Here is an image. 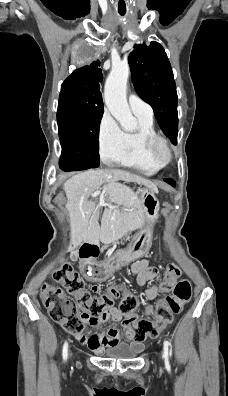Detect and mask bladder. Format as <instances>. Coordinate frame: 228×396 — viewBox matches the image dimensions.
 Segmentation results:
<instances>
[{
    "label": "bladder",
    "mask_w": 228,
    "mask_h": 396,
    "mask_svg": "<svg viewBox=\"0 0 228 396\" xmlns=\"http://www.w3.org/2000/svg\"><path fill=\"white\" fill-rule=\"evenodd\" d=\"M139 351L136 350L132 345L129 344H115L111 345L104 351V355L121 360H130L138 355Z\"/></svg>",
    "instance_id": "1"
}]
</instances>
